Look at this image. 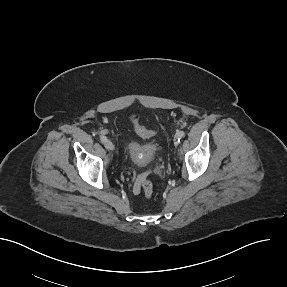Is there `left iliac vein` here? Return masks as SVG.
Listing matches in <instances>:
<instances>
[{
	"label": "left iliac vein",
	"instance_id": "obj_1",
	"mask_svg": "<svg viewBox=\"0 0 287 287\" xmlns=\"http://www.w3.org/2000/svg\"><path fill=\"white\" fill-rule=\"evenodd\" d=\"M174 144L177 145V135L174 138Z\"/></svg>",
	"mask_w": 287,
	"mask_h": 287
}]
</instances>
